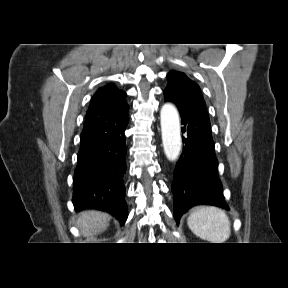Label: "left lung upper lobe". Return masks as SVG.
I'll use <instances>...</instances> for the list:
<instances>
[{"mask_svg":"<svg viewBox=\"0 0 288 288\" xmlns=\"http://www.w3.org/2000/svg\"><path fill=\"white\" fill-rule=\"evenodd\" d=\"M167 78L169 82L164 90V97L172 99L179 105H201L206 108L199 86L184 73L170 71Z\"/></svg>","mask_w":288,"mask_h":288,"instance_id":"obj_1","label":"left lung upper lobe"}]
</instances>
